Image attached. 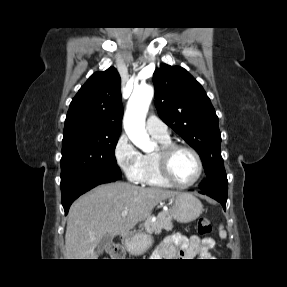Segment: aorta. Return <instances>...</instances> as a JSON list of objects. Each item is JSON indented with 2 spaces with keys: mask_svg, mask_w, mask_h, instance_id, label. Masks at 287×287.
<instances>
[{
  "mask_svg": "<svg viewBox=\"0 0 287 287\" xmlns=\"http://www.w3.org/2000/svg\"><path fill=\"white\" fill-rule=\"evenodd\" d=\"M153 96L152 86L145 85L134 89L128 100L123 119L127 136L135 146L144 152H151L156 146L145 129V119Z\"/></svg>",
  "mask_w": 287,
  "mask_h": 287,
  "instance_id": "obj_1",
  "label": "aorta"
}]
</instances>
